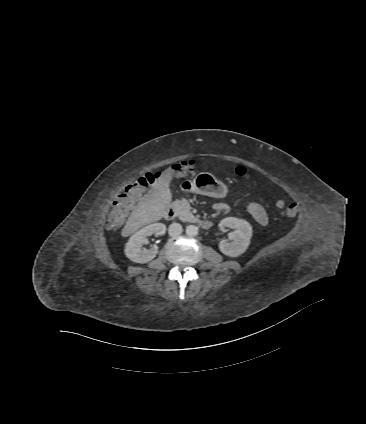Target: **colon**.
<instances>
[{"label":"colon","mask_w":366,"mask_h":424,"mask_svg":"<svg viewBox=\"0 0 366 424\" xmlns=\"http://www.w3.org/2000/svg\"><path fill=\"white\" fill-rule=\"evenodd\" d=\"M192 165L185 163H178L172 166V172L178 176H185L192 172ZM237 175H245L246 170L242 166L235 169ZM160 177V172H148L139 177L133 183L128 185L124 192L117 197L111 211L108 214L106 225L110 229L117 228L124 220V217L137 200L141 193L151 184H153ZM276 208L279 214L285 218H292L297 214L298 207L295 203L286 204L282 199L276 201Z\"/></svg>","instance_id":"colon-1"}]
</instances>
